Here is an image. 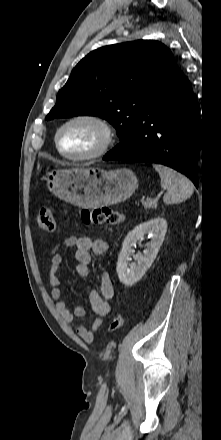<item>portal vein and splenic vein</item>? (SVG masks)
<instances>
[{
  "mask_svg": "<svg viewBox=\"0 0 221 440\" xmlns=\"http://www.w3.org/2000/svg\"><path fill=\"white\" fill-rule=\"evenodd\" d=\"M160 197H161V193L157 194L156 197H155V199H154V201L157 202V201L159 200Z\"/></svg>",
  "mask_w": 221,
  "mask_h": 440,
  "instance_id": "1",
  "label": "portal vein and splenic vein"
}]
</instances>
